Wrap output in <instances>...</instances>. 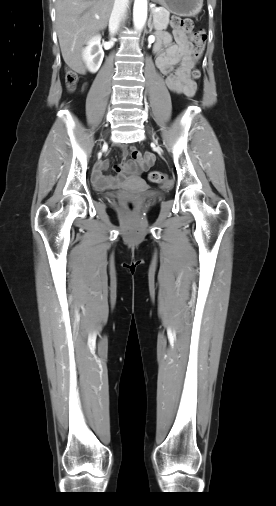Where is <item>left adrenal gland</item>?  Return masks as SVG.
Segmentation results:
<instances>
[{"label": "left adrenal gland", "instance_id": "left-adrenal-gland-1", "mask_svg": "<svg viewBox=\"0 0 276 506\" xmlns=\"http://www.w3.org/2000/svg\"><path fill=\"white\" fill-rule=\"evenodd\" d=\"M152 14H153V11L151 12L150 17H149V20H148L149 33H152V30H153V25H152Z\"/></svg>", "mask_w": 276, "mask_h": 506}]
</instances>
